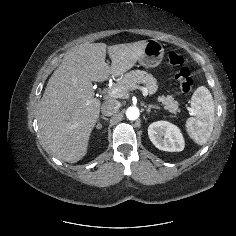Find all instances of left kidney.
I'll return each instance as SVG.
<instances>
[{"mask_svg": "<svg viewBox=\"0 0 236 236\" xmlns=\"http://www.w3.org/2000/svg\"><path fill=\"white\" fill-rule=\"evenodd\" d=\"M148 136L155 147L163 151L180 152L185 146L180 129L167 121L150 124Z\"/></svg>", "mask_w": 236, "mask_h": 236, "instance_id": "1", "label": "left kidney"}]
</instances>
